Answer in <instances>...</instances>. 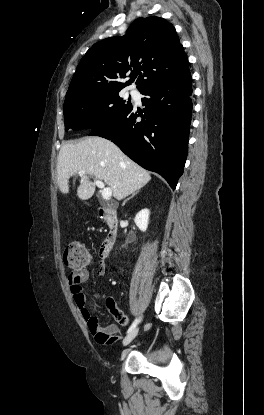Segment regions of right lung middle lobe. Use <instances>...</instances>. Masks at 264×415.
<instances>
[{
    "mask_svg": "<svg viewBox=\"0 0 264 415\" xmlns=\"http://www.w3.org/2000/svg\"><path fill=\"white\" fill-rule=\"evenodd\" d=\"M132 107L118 92L85 94L65 99V130L94 129L109 123Z\"/></svg>",
    "mask_w": 264,
    "mask_h": 415,
    "instance_id": "dd1d6c3e",
    "label": "right lung middle lobe"
}]
</instances>
